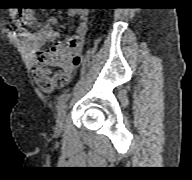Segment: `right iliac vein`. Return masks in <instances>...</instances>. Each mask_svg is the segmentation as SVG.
<instances>
[{"label":"right iliac vein","instance_id":"obj_1","mask_svg":"<svg viewBox=\"0 0 192 180\" xmlns=\"http://www.w3.org/2000/svg\"><path fill=\"white\" fill-rule=\"evenodd\" d=\"M66 109L67 106L64 105L57 113V117H56V128L57 130L61 131L64 127V120H65V116H66Z\"/></svg>","mask_w":192,"mask_h":180}]
</instances>
